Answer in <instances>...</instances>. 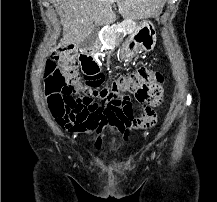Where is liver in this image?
<instances>
[{
	"instance_id": "obj_1",
	"label": "liver",
	"mask_w": 217,
	"mask_h": 202,
	"mask_svg": "<svg viewBox=\"0 0 217 202\" xmlns=\"http://www.w3.org/2000/svg\"><path fill=\"white\" fill-rule=\"evenodd\" d=\"M54 2L63 26L61 46L81 44L96 26L114 22L112 4L124 20H143L159 14L166 0H50Z\"/></svg>"
}]
</instances>
